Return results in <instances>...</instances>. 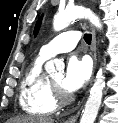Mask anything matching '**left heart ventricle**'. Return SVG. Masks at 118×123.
I'll return each mask as SVG.
<instances>
[{
  "label": "left heart ventricle",
  "mask_w": 118,
  "mask_h": 123,
  "mask_svg": "<svg viewBox=\"0 0 118 123\" xmlns=\"http://www.w3.org/2000/svg\"><path fill=\"white\" fill-rule=\"evenodd\" d=\"M58 87H60L61 89L62 88V80H63V75L62 74H59V75H56L54 76L52 79H51ZM64 90V89H63Z\"/></svg>",
  "instance_id": "obj_1"
}]
</instances>
